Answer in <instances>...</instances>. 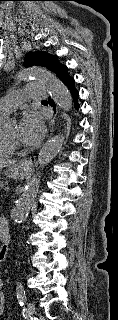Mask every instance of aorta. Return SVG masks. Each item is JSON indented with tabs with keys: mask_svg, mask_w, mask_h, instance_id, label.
Here are the masks:
<instances>
[{
	"mask_svg": "<svg viewBox=\"0 0 118 320\" xmlns=\"http://www.w3.org/2000/svg\"><path fill=\"white\" fill-rule=\"evenodd\" d=\"M19 78L24 81L36 80L41 82L48 90L55 103L64 111L72 107V97L68 88L51 72L45 68L33 66L23 69ZM63 134L50 138L42 147L38 155L39 167L43 168L59 153L64 142ZM41 172L27 183L26 189L16 203L14 210V221L17 224L23 223L28 216L31 205L36 197L37 188L40 184Z\"/></svg>",
	"mask_w": 118,
	"mask_h": 320,
	"instance_id": "762f6f07",
	"label": "aorta"
}]
</instances>
